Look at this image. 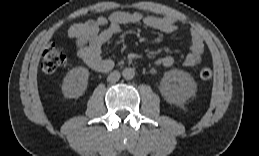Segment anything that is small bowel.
Masks as SVG:
<instances>
[{
    "mask_svg": "<svg viewBox=\"0 0 259 156\" xmlns=\"http://www.w3.org/2000/svg\"><path fill=\"white\" fill-rule=\"evenodd\" d=\"M136 23L164 33L179 31L181 24L173 16L147 15L141 11H115L108 17L101 16L73 25L69 30V36L75 41L79 58L91 69L107 72L113 67V61L101 56L103 44L113 36L120 34L123 25ZM204 52L205 45L200 33L196 29H191L189 53L183 60V66H196L200 63ZM156 62L158 65L170 67L175 60L172 56L165 55L158 58Z\"/></svg>",
    "mask_w": 259,
    "mask_h": 156,
    "instance_id": "small-bowel-1",
    "label": "small bowel"
}]
</instances>
